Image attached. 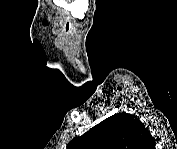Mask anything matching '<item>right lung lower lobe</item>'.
<instances>
[{"mask_svg": "<svg viewBox=\"0 0 177 149\" xmlns=\"http://www.w3.org/2000/svg\"><path fill=\"white\" fill-rule=\"evenodd\" d=\"M145 139L148 141V144H150L151 142L153 143L152 147L155 146L154 140L150 133L145 137Z\"/></svg>", "mask_w": 177, "mask_h": 149, "instance_id": "obj_1", "label": "right lung lower lobe"}]
</instances>
